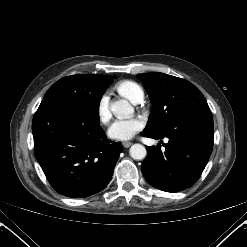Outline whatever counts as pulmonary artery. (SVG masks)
<instances>
[{
	"mask_svg": "<svg viewBox=\"0 0 247 247\" xmlns=\"http://www.w3.org/2000/svg\"><path fill=\"white\" fill-rule=\"evenodd\" d=\"M142 101V99H140L139 101H137L136 103H139V102H141Z\"/></svg>",
	"mask_w": 247,
	"mask_h": 247,
	"instance_id": "obj_1",
	"label": "pulmonary artery"
}]
</instances>
